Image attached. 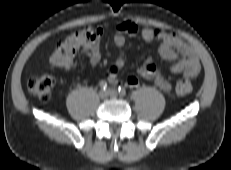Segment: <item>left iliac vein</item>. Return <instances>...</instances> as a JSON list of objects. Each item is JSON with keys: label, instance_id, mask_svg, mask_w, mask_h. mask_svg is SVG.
<instances>
[{"label": "left iliac vein", "instance_id": "obj_1", "mask_svg": "<svg viewBox=\"0 0 231 170\" xmlns=\"http://www.w3.org/2000/svg\"><path fill=\"white\" fill-rule=\"evenodd\" d=\"M108 94L110 97L112 98H116L118 96V92L116 89H113V88H109L108 89Z\"/></svg>", "mask_w": 231, "mask_h": 170}]
</instances>
